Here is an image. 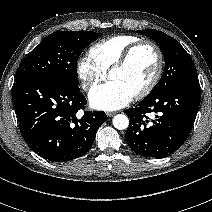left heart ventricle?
I'll return each mask as SVG.
<instances>
[{"mask_svg":"<svg viewBox=\"0 0 212 212\" xmlns=\"http://www.w3.org/2000/svg\"><path fill=\"white\" fill-rule=\"evenodd\" d=\"M156 65L155 52L150 47H141L135 51L124 69L112 73L110 80L135 95L150 81Z\"/></svg>","mask_w":212,"mask_h":212,"instance_id":"1","label":"left heart ventricle"}]
</instances>
